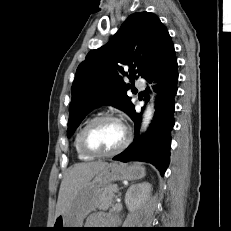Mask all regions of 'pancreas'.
I'll return each mask as SVG.
<instances>
[{
    "label": "pancreas",
    "mask_w": 231,
    "mask_h": 231,
    "mask_svg": "<svg viewBox=\"0 0 231 231\" xmlns=\"http://www.w3.org/2000/svg\"><path fill=\"white\" fill-rule=\"evenodd\" d=\"M117 191L118 189L114 185L104 187L99 197L100 207L108 208L109 206H112L113 198L115 197L114 193Z\"/></svg>",
    "instance_id": "cf45deb5"
}]
</instances>
